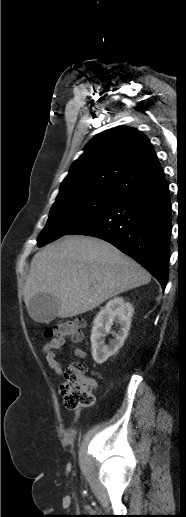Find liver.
<instances>
[{
  "instance_id": "1",
  "label": "liver",
  "mask_w": 186,
  "mask_h": 517,
  "mask_svg": "<svg viewBox=\"0 0 186 517\" xmlns=\"http://www.w3.org/2000/svg\"><path fill=\"white\" fill-rule=\"evenodd\" d=\"M149 272L112 244L98 238L66 236L35 254L24 285V302L49 294L57 316L73 317L122 292L145 285Z\"/></svg>"
}]
</instances>
